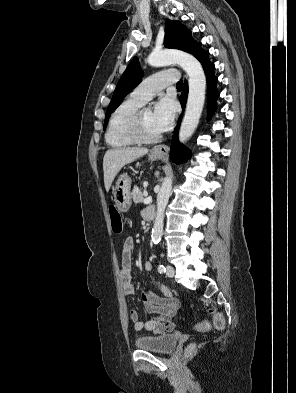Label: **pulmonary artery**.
<instances>
[{"label":"pulmonary artery","mask_w":296,"mask_h":393,"mask_svg":"<svg viewBox=\"0 0 296 393\" xmlns=\"http://www.w3.org/2000/svg\"><path fill=\"white\" fill-rule=\"evenodd\" d=\"M178 81L177 72L168 70L145 78L131 93L129 98L140 105L145 104L166 86Z\"/></svg>","instance_id":"e3ab8cb5"}]
</instances>
